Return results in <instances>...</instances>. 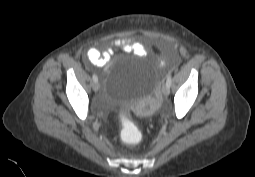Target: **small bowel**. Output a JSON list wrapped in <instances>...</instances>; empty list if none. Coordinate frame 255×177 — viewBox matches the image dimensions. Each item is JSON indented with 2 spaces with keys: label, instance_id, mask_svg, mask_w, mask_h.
I'll return each mask as SVG.
<instances>
[{
  "label": "small bowel",
  "instance_id": "1",
  "mask_svg": "<svg viewBox=\"0 0 255 177\" xmlns=\"http://www.w3.org/2000/svg\"><path fill=\"white\" fill-rule=\"evenodd\" d=\"M130 51L135 54L142 55L146 52V48L134 36H126L114 39L110 42L109 47L105 51L97 48H90L86 53L87 61L101 68H108L113 60L115 51Z\"/></svg>",
  "mask_w": 255,
  "mask_h": 177
}]
</instances>
